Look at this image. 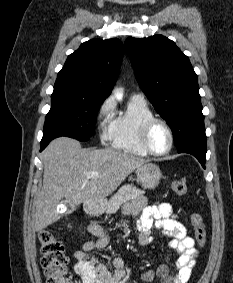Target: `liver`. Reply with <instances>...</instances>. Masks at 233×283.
<instances>
[{"label": "liver", "mask_w": 233, "mask_h": 283, "mask_svg": "<svg viewBox=\"0 0 233 283\" xmlns=\"http://www.w3.org/2000/svg\"><path fill=\"white\" fill-rule=\"evenodd\" d=\"M43 187L36 199L35 230L58 221V205L75 207L113 193L135 169L149 160L110 148L83 150L79 141L60 137L42 153ZM96 172L94 178L86 175Z\"/></svg>", "instance_id": "6515ba94"}]
</instances>
